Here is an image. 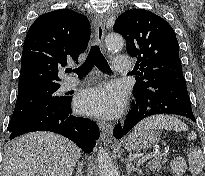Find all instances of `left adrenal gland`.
Returning a JSON list of instances; mask_svg holds the SVG:
<instances>
[{"label": "left adrenal gland", "mask_w": 205, "mask_h": 176, "mask_svg": "<svg viewBox=\"0 0 205 176\" xmlns=\"http://www.w3.org/2000/svg\"><path fill=\"white\" fill-rule=\"evenodd\" d=\"M125 163H126V172L128 176H130L132 173H135V172L141 175V170L138 168V166L133 165L129 161V159H125Z\"/></svg>", "instance_id": "obj_1"}]
</instances>
